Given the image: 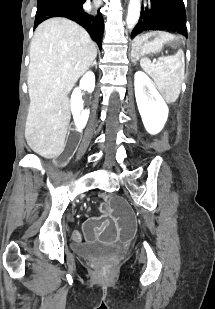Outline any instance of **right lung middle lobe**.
Segmentation results:
<instances>
[{"label":"right lung middle lobe","mask_w":215,"mask_h":309,"mask_svg":"<svg viewBox=\"0 0 215 309\" xmlns=\"http://www.w3.org/2000/svg\"><path fill=\"white\" fill-rule=\"evenodd\" d=\"M47 0H38V4H41L43 2H45ZM65 1H70V2H80V1H83V0H65Z\"/></svg>","instance_id":"right-lung-middle-lobe-1"}]
</instances>
